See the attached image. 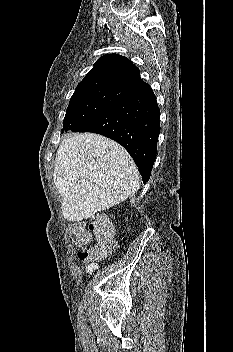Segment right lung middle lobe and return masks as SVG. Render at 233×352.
<instances>
[{"label":"right lung middle lobe","instance_id":"obj_1","mask_svg":"<svg viewBox=\"0 0 233 352\" xmlns=\"http://www.w3.org/2000/svg\"><path fill=\"white\" fill-rule=\"evenodd\" d=\"M133 88L99 85L76 89L63 121V130H73L110 106L136 94Z\"/></svg>","mask_w":233,"mask_h":352}]
</instances>
